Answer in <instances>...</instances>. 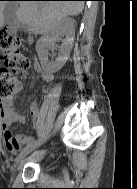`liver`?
Listing matches in <instances>:
<instances>
[{
	"mask_svg": "<svg viewBox=\"0 0 137 189\" xmlns=\"http://www.w3.org/2000/svg\"><path fill=\"white\" fill-rule=\"evenodd\" d=\"M16 10L17 20L34 34H45L66 16L83 11V1H20ZM6 1H0V29L4 26Z\"/></svg>",
	"mask_w": 137,
	"mask_h": 189,
	"instance_id": "1",
	"label": "liver"
}]
</instances>
